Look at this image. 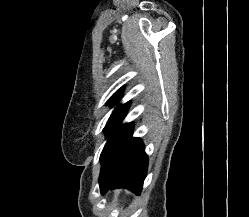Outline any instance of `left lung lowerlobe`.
Segmentation results:
<instances>
[{"label": "left lung lower lobe", "instance_id": "left-lung-lower-lobe-1", "mask_svg": "<svg viewBox=\"0 0 249 217\" xmlns=\"http://www.w3.org/2000/svg\"><path fill=\"white\" fill-rule=\"evenodd\" d=\"M133 124L126 123L120 128L113 167L109 174L100 172V191L127 188L136 194L142 190L146 177L148 157L140 138H133Z\"/></svg>", "mask_w": 249, "mask_h": 217}]
</instances>
